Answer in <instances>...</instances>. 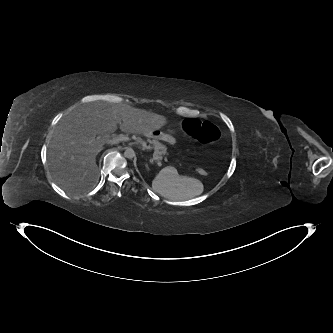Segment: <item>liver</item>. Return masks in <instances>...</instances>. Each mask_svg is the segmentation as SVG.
Wrapping results in <instances>:
<instances>
[{
  "label": "liver",
  "mask_w": 333,
  "mask_h": 333,
  "mask_svg": "<svg viewBox=\"0 0 333 333\" xmlns=\"http://www.w3.org/2000/svg\"><path fill=\"white\" fill-rule=\"evenodd\" d=\"M166 123L163 115L127 104L104 101L84 104L63 117L56 126L48 150L49 169L64 190L91 189L99 179L96 155L105 144L96 136H109L120 124L124 133L152 137V132Z\"/></svg>",
  "instance_id": "6515ba94"
}]
</instances>
